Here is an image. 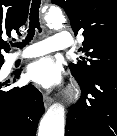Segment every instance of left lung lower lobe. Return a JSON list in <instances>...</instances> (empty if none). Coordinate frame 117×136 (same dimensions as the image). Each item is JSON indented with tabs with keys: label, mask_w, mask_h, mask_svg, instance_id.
Listing matches in <instances>:
<instances>
[{
	"label": "left lung lower lobe",
	"mask_w": 117,
	"mask_h": 136,
	"mask_svg": "<svg viewBox=\"0 0 117 136\" xmlns=\"http://www.w3.org/2000/svg\"><path fill=\"white\" fill-rule=\"evenodd\" d=\"M78 83L81 98L67 114L65 136H117V70Z\"/></svg>",
	"instance_id": "1"
}]
</instances>
